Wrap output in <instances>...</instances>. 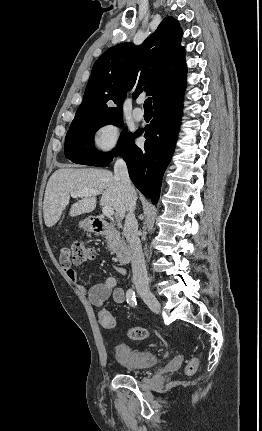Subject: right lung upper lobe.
I'll list each match as a JSON object with an SVG mask.
<instances>
[{"instance_id":"1","label":"right lung upper lobe","mask_w":262,"mask_h":431,"mask_svg":"<svg viewBox=\"0 0 262 431\" xmlns=\"http://www.w3.org/2000/svg\"><path fill=\"white\" fill-rule=\"evenodd\" d=\"M181 37L178 22L167 17L141 46L125 42L109 48L93 66L74 120L123 116V101L136 82L134 97L144 85L155 106L183 93L187 66Z\"/></svg>"}]
</instances>
